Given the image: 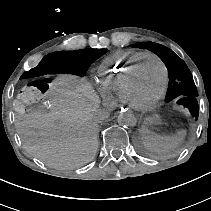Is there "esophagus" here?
I'll return each instance as SVG.
<instances>
[{
	"label": "esophagus",
	"mask_w": 211,
	"mask_h": 211,
	"mask_svg": "<svg viewBox=\"0 0 211 211\" xmlns=\"http://www.w3.org/2000/svg\"><path fill=\"white\" fill-rule=\"evenodd\" d=\"M131 112H132V107L127 106L126 104H121L120 107L118 108L119 114H125V113H131Z\"/></svg>",
	"instance_id": "esophagus-1"
}]
</instances>
